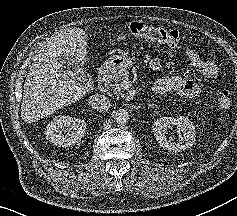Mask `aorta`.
Masks as SVG:
<instances>
[{
  "instance_id": "762f6f07",
  "label": "aorta",
  "mask_w": 237,
  "mask_h": 216,
  "mask_svg": "<svg viewBox=\"0 0 237 216\" xmlns=\"http://www.w3.org/2000/svg\"><path fill=\"white\" fill-rule=\"evenodd\" d=\"M129 120V114L126 110H118L114 114V122L118 125H124Z\"/></svg>"
}]
</instances>
